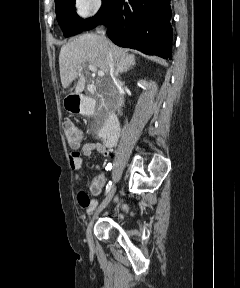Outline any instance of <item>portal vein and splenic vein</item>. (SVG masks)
Returning a JSON list of instances; mask_svg holds the SVG:
<instances>
[{
  "label": "portal vein and splenic vein",
  "mask_w": 240,
  "mask_h": 288,
  "mask_svg": "<svg viewBox=\"0 0 240 288\" xmlns=\"http://www.w3.org/2000/svg\"><path fill=\"white\" fill-rule=\"evenodd\" d=\"M88 69L92 72H97L99 77H103L105 75L103 71H101V70L97 71V68L94 65L89 64ZM81 70L82 69H79V71L77 73H80Z\"/></svg>",
  "instance_id": "portal-vein-and-splenic-vein-1"
}]
</instances>
